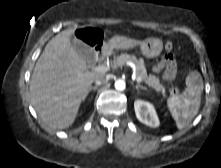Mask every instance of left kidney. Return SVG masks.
Listing matches in <instances>:
<instances>
[{"mask_svg":"<svg viewBox=\"0 0 221 168\" xmlns=\"http://www.w3.org/2000/svg\"><path fill=\"white\" fill-rule=\"evenodd\" d=\"M134 109L136 117L141 123L153 128L159 126L158 116L151 103L143 100H136L134 103Z\"/></svg>","mask_w":221,"mask_h":168,"instance_id":"left-kidney-1","label":"left kidney"}]
</instances>
